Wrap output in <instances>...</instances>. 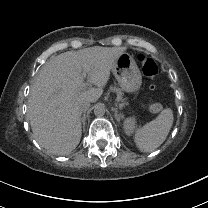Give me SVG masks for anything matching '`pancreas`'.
<instances>
[{
	"label": "pancreas",
	"instance_id": "obj_1",
	"mask_svg": "<svg viewBox=\"0 0 208 208\" xmlns=\"http://www.w3.org/2000/svg\"><path fill=\"white\" fill-rule=\"evenodd\" d=\"M110 90L117 93V101H121L123 106L127 104L126 99L123 98L124 93L121 88L111 86Z\"/></svg>",
	"mask_w": 208,
	"mask_h": 208
}]
</instances>
